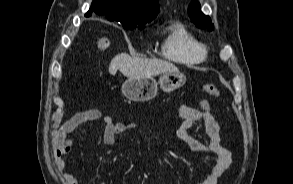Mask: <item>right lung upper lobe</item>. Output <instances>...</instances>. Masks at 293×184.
I'll return each mask as SVG.
<instances>
[{"instance_id":"obj_1","label":"right lung upper lobe","mask_w":293,"mask_h":184,"mask_svg":"<svg viewBox=\"0 0 293 184\" xmlns=\"http://www.w3.org/2000/svg\"><path fill=\"white\" fill-rule=\"evenodd\" d=\"M92 11L122 25L145 24L157 16L159 3L158 0H93L85 16H90Z\"/></svg>"}]
</instances>
